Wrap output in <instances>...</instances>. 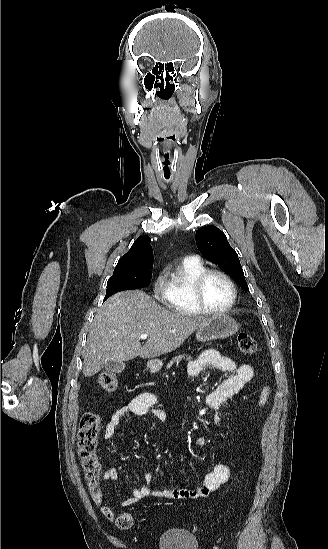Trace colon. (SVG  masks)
<instances>
[{
  "label": "colon",
  "mask_w": 328,
  "mask_h": 549,
  "mask_svg": "<svg viewBox=\"0 0 328 549\" xmlns=\"http://www.w3.org/2000/svg\"><path fill=\"white\" fill-rule=\"evenodd\" d=\"M238 348L244 355H252L257 351V343L253 337L246 333H241L237 338ZM99 386L108 393H113L118 388L117 376L109 371H105L98 376ZM270 397V388L263 387L258 398L259 408L264 407ZM100 431V418L92 413H85L79 424L78 431V454L85 473L86 481L93 500L101 503L103 493L99 484L100 462L96 454L97 440ZM116 526L122 530L130 529L133 525V516L129 512H121L113 516Z\"/></svg>",
  "instance_id": "colon-1"
}]
</instances>
